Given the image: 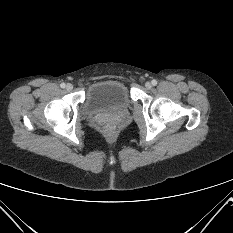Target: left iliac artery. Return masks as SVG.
<instances>
[{
  "mask_svg": "<svg viewBox=\"0 0 233 233\" xmlns=\"http://www.w3.org/2000/svg\"><path fill=\"white\" fill-rule=\"evenodd\" d=\"M151 83H152L153 86L157 85V81L155 79L152 80Z\"/></svg>",
  "mask_w": 233,
  "mask_h": 233,
  "instance_id": "1",
  "label": "left iliac artery"
}]
</instances>
